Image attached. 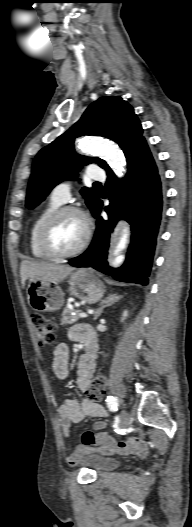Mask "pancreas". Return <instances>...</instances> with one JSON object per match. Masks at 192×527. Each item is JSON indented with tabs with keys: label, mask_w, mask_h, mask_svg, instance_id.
I'll list each match as a JSON object with an SVG mask.
<instances>
[{
	"label": "pancreas",
	"mask_w": 192,
	"mask_h": 527,
	"mask_svg": "<svg viewBox=\"0 0 192 527\" xmlns=\"http://www.w3.org/2000/svg\"><path fill=\"white\" fill-rule=\"evenodd\" d=\"M73 313H75L73 315ZM80 313V310L70 309L66 307L62 312V324H73L78 321V314Z\"/></svg>",
	"instance_id": "pancreas-1"
}]
</instances>
